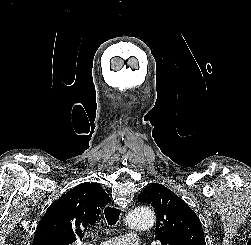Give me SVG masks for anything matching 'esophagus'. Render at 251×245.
Instances as JSON below:
<instances>
[{
	"label": "esophagus",
	"mask_w": 251,
	"mask_h": 245,
	"mask_svg": "<svg viewBox=\"0 0 251 245\" xmlns=\"http://www.w3.org/2000/svg\"><path fill=\"white\" fill-rule=\"evenodd\" d=\"M134 207V202H131L123 211L127 213L128 211L132 210Z\"/></svg>",
	"instance_id": "obj_1"
}]
</instances>
